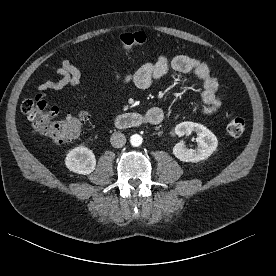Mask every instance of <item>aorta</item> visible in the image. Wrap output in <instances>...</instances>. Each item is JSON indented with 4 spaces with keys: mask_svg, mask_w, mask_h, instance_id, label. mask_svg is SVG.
I'll return each instance as SVG.
<instances>
[{
    "mask_svg": "<svg viewBox=\"0 0 276 276\" xmlns=\"http://www.w3.org/2000/svg\"><path fill=\"white\" fill-rule=\"evenodd\" d=\"M130 143L134 147H138L142 144V137L139 134H134L130 137Z\"/></svg>",
    "mask_w": 276,
    "mask_h": 276,
    "instance_id": "obj_1",
    "label": "aorta"
}]
</instances>
